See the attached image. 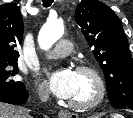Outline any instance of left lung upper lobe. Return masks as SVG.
I'll return each mask as SVG.
<instances>
[{
  "label": "left lung upper lobe",
  "mask_w": 133,
  "mask_h": 118,
  "mask_svg": "<svg viewBox=\"0 0 133 118\" xmlns=\"http://www.w3.org/2000/svg\"><path fill=\"white\" fill-rule=\"evenodd\" d=\"M75 19L105 75L112 106L133 110L132 56L120 19L98 0L81 1Z\"/></svg>",
  "instance_id": "left-lung-upper-lobe-1"
}]
</instances>
